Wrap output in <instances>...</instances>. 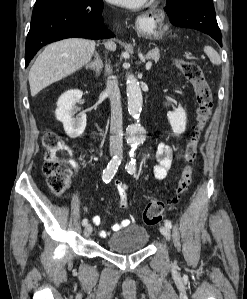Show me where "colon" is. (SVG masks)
Listing matches in <instances>:
<instances>
[{
    "mask_svg": "<svg viewBox=\"0 0 247 299\" xmlns=\"http://www.w3.org/2000/svg\"><path fill=\"white\" fill-rule=\"evenodd\" d=\"M176 66L193 86L197 109L192 132L185 148L186 166L183 169L174 195L167 199H154L144 209L142 221L145 225L153 226L159 223L166 207L179 202L188 190L192 179V164L197 157V151L202 134L211 117L213 96L201 68L194 62L178 58ZM45 147V163L43 167L47 185L55 195H61L69 186L71 178L70 155L71 149L63 138L52 130L46 131L43 137Z\"/></svg>",
    "mask_w": 247,
    "mask_h": 299,
    "instance_id": "colon-1",
    "label": "colon"
}]
</instances>
